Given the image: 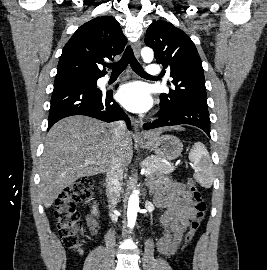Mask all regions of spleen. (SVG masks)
<instances>
[{
	"instance_id": "obj_1",
	"label": "spleen",
	"mask_w": 267,
	"mask_h": 270,
	"mask_svg": "<svg viewBox=\"0 0 267 270\" xmlns=\"http://www.w3.org/2000/svg\"><path fill=\"white\" fill-rule=\"evenodd\" d=\"M189 159L195 166V180L202 187L210 188L213 183L214 167L205 145L196 142L190 150Z\"/></svg>"
}]
</instances>
